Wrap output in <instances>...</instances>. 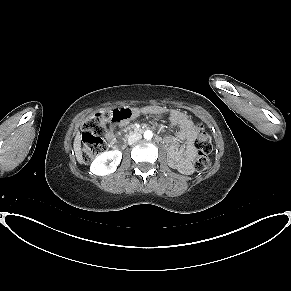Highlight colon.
Masks as SVG:
<instances>
[{"instance_id": "obj_1", "label": "colon", "mask_w": 291, "mask_h": 291, "mask_svg": "<svg viewBox=\"0 0 291 291\" xmlns=\"http://www.w3.org/2000/svg\"><path fill=\"white\" fill-rule=\"evenodd\" d=\"M131 116L129 108H119L96 113L84 125L82 134V160L89 164L97 155L105 151L106 146L101 138L108 124L111 122L128 119ZM198 155L194 165L197 171H204L209 168L211 162L209 154L212 151V141L210 134L199 126V135L197 138Z\"/></svg>"}]
</instances>
